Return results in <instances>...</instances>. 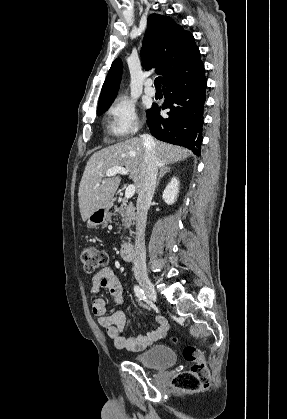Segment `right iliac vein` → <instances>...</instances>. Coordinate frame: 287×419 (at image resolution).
Instances as JSON below:
<instances>
[{
	"label": "right iliac vein",
	"mask_w": 287,
	"mask_h": 419,
	"mask_svg": "<svg viewBox=\"0 0 287 419\" xmlns=\"http://www.w3.org/2000/svg\"><path fill=\"white\" fill-rule=\"evenodd\" d=\"M137 281L142 287V289L144 290L147 297L152 301H156L157 300L156 292L154 290L153 284L150 281V279L146 276H137Z\"/></svg>",
	"instance_id": "obj_1"
}]
</instances>
